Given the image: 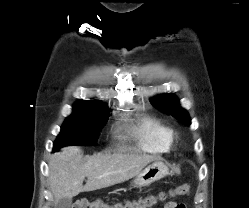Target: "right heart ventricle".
Masks as SVG:
<instances>
[{
    "mask_svg": "<svg viewBox=\"0 0 249 208\" xmlns=\"http://www.w3.org/2000/svg\"><path fill=\"white\" fill-rule=\"evenodd\" d=\"M138 147L151 154H163L172 148L173 130L155 117H143L131 129Z\"/></svg>",
    "mask_w": 249,
    "mask_h": 208,
    "instance_id": "right-heart-ventricle-1",
    "label": "right heart ventricle"
}]
</instances>
